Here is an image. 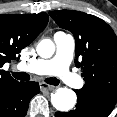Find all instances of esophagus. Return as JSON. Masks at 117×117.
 Masks as SVG:
<instances>
[{
	"instance_id": "obj_1",
	"label": "esophagus",
	"mask_w": 117,
	"mask_h": 117,
	"mask_svg": "<svg viewBox=\"0 0 117 117\" xmlns=\"http://www.w3.org/2000/svg\"><path fill=\"white\" fill-rule=\"evenodd\" d=\"M55 87L52 85H48L47 83L41 82L40 83V90L43 91H50L53 90Z\"/></svg>"
}]
</instances>
